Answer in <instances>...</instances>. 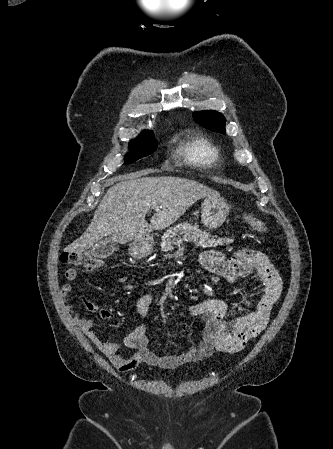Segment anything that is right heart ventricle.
Returning <instances> with one entry per match:
<instances>
[{
	"label": "right heart ventricle",
	"mask_w": 333,
	"mask_h": 449,
	"mask_svg": "<svg viewBox=\"0 0 333 449\" xmlns=\"http://www.w3.org/2000/svg\"><path fill=\"white\" fill-rule=\"evenodd\" d=\"M177 153L188 163L204 167L213 166L219 158L218 149L200 136H180L177 140Z\"/></svg>",
	"instance_id": "e07e8e85"
}]
</instances>
